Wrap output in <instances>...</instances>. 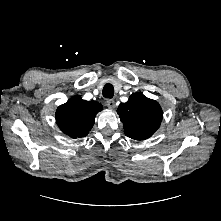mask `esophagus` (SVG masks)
<instances>
[{"label":"esophagus","mask_w":221,"mask_h":221,"mask_svg":"<svg viewBox=\"0 0 221 221\" xmlns=\"http://www.w3.org/2000/svg\"><path fill=\"white\" fill-rule=\"evenodd\" d=\"M106 105H107V107H109L110 109H114V108H115V101L112 100V99H108V100L106 101Z\"/></svg>","instance_id":"obj_1"}]
</instances>
